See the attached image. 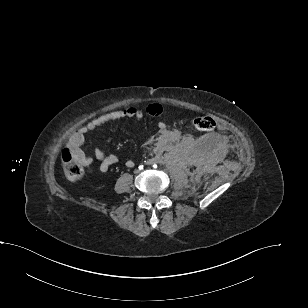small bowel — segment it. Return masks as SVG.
I'll list each match as a JSON object with an SVG mask.
<instances>
[{"instance_id":"small-bowel-1","label":"small bowel","mask_w":308,"mask_h":308,"mask_svg":"<svg viewBox=\"0 0 308 308\" xmlns=\"http://www.w3.org/2000/svg\"><path fill=\"white\" fill-rule=\"evenodd\" d=\"M163 113V107L159 104H149L145 110H140L135 107H127L124 109L114 110L107 112L103 115L93 118L86 125L78 129L71 135L68 140L67 148L72 152L73 156L81 161L85 166H90L94 159L100 162L99 171L106 172L112 165L117 163L118 158L114 154H106L100 149H96L93 155L86 153L82 146L85 142L86 135L99 128L100 126L109 122L117 121L120 119H134L141 121L145 115L157 117ZM159 136L156 139V147L160 150L165 149L169 144L175 143L180 140L181 134L179 131L170 130L164 122L158 123ZM153 139L148 138L145 144H150ZM127 167H133L134 162L128 160Z\"/></svg>"}]
</instances>
